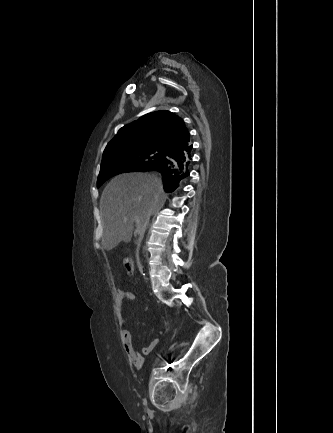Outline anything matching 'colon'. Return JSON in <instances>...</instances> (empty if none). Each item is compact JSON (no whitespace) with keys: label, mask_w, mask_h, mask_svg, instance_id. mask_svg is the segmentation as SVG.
<instances>
[{"label":"colon","mask_w":333,"mask_h":433,"mask_svg":"<svg viewBox=\"0 0 333 433\" xmlns=\"http://www.w3.org/2000/svg\"><path fill=\"white\" fill-rule=\"evenodd\" d=\"M123 262H124V268H125L126 272L128 274H132L134 272V267H135L132 259L129 256H126L123 259Z\"/></svg>","instance_id":"colon-1"}]
</instances>
